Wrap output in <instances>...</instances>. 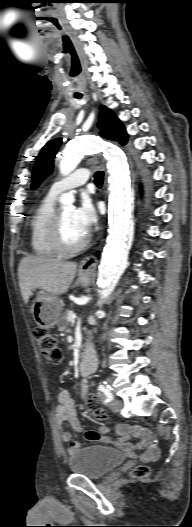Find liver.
<instances>
[{"instance_id":"6515ba94","label":"liver","mask_w":192,"mask_h":527,"mask_svg":"<svg viewBox=\"0 0 192 527\" xmlns=\"http://www.w3.org/2000/svg\"><path fill=\"white\" fill-rule=\"evenodd\" d=\"M77 265L44 256L28 255L19 263L18 278L24 303L29 301L31 292L40 288L52 295L68 291L76 273Z\"/></svg>"}]
</instances>
